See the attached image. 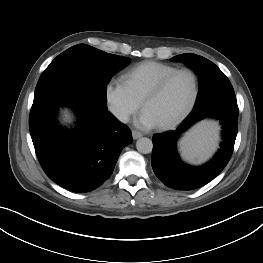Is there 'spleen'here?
I'll list each match as a JSON object with an SVG mask.
<instances>
[{
	"instance_id": "spleen-1",
	"label": "spleen",
	"mask_w": 263,
	"mask_h": 263,
	"mask_svg": "<svg viewBox=\"0 0 263 263\" xmlns=\"http://www.w3.org/2000/svg\"><path fill=\"white\" fill-rule=\"evenodd\" d=\"M218 131V125L213 121L195 125L181 141L183 156L190 161L205 160L216 147Z\"/></svg>"
}]
</instances>
